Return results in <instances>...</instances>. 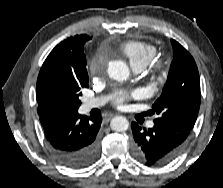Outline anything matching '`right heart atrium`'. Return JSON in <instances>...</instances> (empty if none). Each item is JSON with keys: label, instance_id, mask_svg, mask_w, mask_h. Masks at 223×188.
Returning a JSON list of instances; mask_svg holds the SVG:
<instances>
[{"label": "right heart atrium", "instance_id": "obj_1", "mask_svg": "<svg viewBox=\"0 0 223 188\" xmlns=\"http://www.w3.org/2000/svg\"><path fill=\"white\" fill-rule=\"evenodd\" d=\"M102 66V60L99 55H96L91 62V69L96 70Z\"/></svg>", "mask_w": 223, "mask_h": 188}]
</instances>
